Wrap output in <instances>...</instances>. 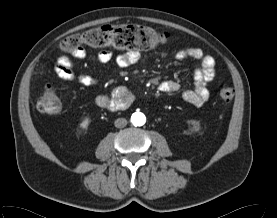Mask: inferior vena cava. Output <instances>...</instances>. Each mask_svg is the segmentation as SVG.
Segmentation results:
<instances>
[{"label":"inferior vena cava","instance_id":"inferior-vena-cava-1","mask_svg":"<svg viewBox=\"0 0 277 218\" xmlns=\"http://www.w3.org/2000/svg\"><path fill=\"white\" fill-rule=\"evenodd\" d=\"M115 127L123 128L127 125V120L125 118H118L114 122Z\"/></svg>","mask_w":277,"mask_h":218}]
</instances>
